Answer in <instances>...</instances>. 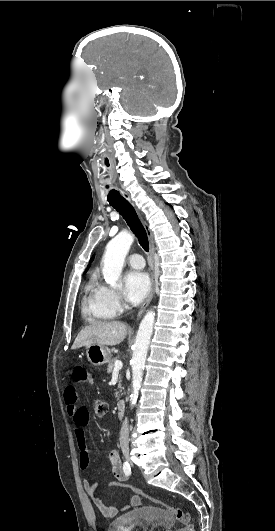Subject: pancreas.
<instances>
[{
  "label": "pancreas",
  "mask_w": 275,
  "mask_h": 531,
  "mask_svg": "<svg viewBox=\"0 0 275 531\" xmlns=\"http://www.w3.org/2000/svg\"><path fill=\"white\" fill-rule=\"evenodd\" d=\"M119 357H114V359H111V361H109L108 363V367H107V373H112L113 369H114V363L115 361H118ZM122 377L120 375V381H118V389H123L122 387V381H121ZM119 391H116V395H117V399H119V395H118Z\"/></svg>",
  "instance_id": "pancreas-1"
}]
</instances>
